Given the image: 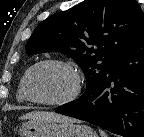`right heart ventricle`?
<instances>
[{
    "mask_svg": "<svg viewBox=\"0 0 144 137\" xmlns=\"http://www.w3.org/2000/svg\"><path fill=\"white\" fill-rule=\"evenodd\" d=\"M22 82H23V77H22V79L20 80V83H19L17 98H18V100H20V101H25V100H26V97H25L24 94H23Z\"/></svg>",
    "mask_w": 144,
    "mask_h": 137,
    "instance_id": "obj_1",
    "label": "right heart ventricle"
}]
</instances>
